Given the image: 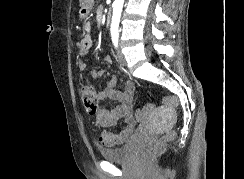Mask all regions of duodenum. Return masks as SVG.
<instances>
[{"label": "duodenum", "instance_id": "1", "mask_svg": "<svg viewBox=\"0 0 244 179\" xmlns=\"http://www.w3.org/2000/svg\"><path fill=\"white\" fill-rule=\"evenodd\" d=\"M110 16L111 12L109 11L108 14L105 16V24H108L110 22Z\"/></svg>", "mask_w": 244, "mask_h": 179}]
</instances>
